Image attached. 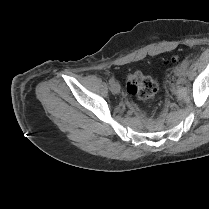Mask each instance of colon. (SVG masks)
I'll return each instance as SVG.
<instances>
[{"label": "colon", "mask_w": 209, "mask_h": 209, "mask_svg": "<svg viewBox=\"0 0 209 209\" xmlns=\"http://www.w3.org/2000/svg\"><path fill=\"white\" fill-rule=\"evenodd\" d=\"M178 58L173 57L170 63H177ZM126 89L140 100L154 98L158 91V83L152 77L146 76L139 71L129 73L126 78Z\"/></svg>", "instance_id": "obj_1"}]
</instances>
